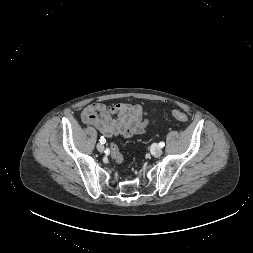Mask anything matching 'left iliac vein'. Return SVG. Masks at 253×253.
<instances>
[{
	"label": "left iliac vein",
	"mask_w": 253,
	"mask_h": 253,
	"mask_svg": "<svg viewBox=\"0 0 253 253\" xmlns=\"http://www.w3.org/2000/svg\"><path fill=\"white\" fill-rule=\"evenodd\" d=\"M162 154V148L161 147H157L154 151H153V156L154 157H159Z\"/></svg>",
	"instance_id": "4c4485c4"
}]
</instances>
